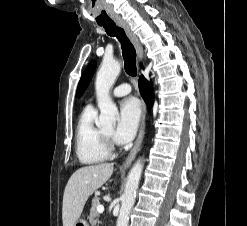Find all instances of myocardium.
<instances>
[{
	"label": "myocardium",
	"mask_w": 247,
	"mask_h": 226,
	"mask_svg": "<svg viewBox=\"0 0 247 226\" xmlns=\"http://www.w3.org/2000/svg\"><path fill=\"white\" fill-rule=\"evenodd\" d=\"M102 139H103V144H104L106 151L109 154L112 153L115 147H114L113 141L111 139V136L102 132Z\"/></svg>",
	"instance_id": "myocardium-1"
}]
</instances>
